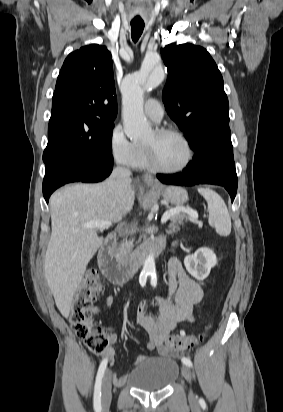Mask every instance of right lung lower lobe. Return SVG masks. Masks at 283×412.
<instances>
[{
  "label": "right lung lower lobe",
  "mask_w": 283,
  "mask_h": 412,
  "mask_svg": "<svg viewBox=\"0 0 283 412\" xmlns=\"http://www.w3.org/2000/svg\"><path fill=\"white\" fill-rule=\"evenodd\" d=\"M113 161L106 159H61L46 165L43 195L48 202L50 195L60 186L70 182H99L112 171Z\"/></svg>",
  "instance_id": "1"
}]
</instances>
